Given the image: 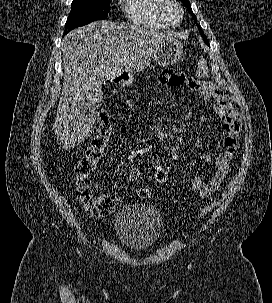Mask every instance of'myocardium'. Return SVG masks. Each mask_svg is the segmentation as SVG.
Masks as SVG:
<instances>
[{
  "instance_id": "1",
  "label": "myocardium",
  "mask_w": 272,
  "mask_h": 303,
  "mask_svg": "<svg viewBox=\"0 0 272 303\" xmlns=\"http://www.w3.org/2000/svg\"><path fill=\"white\" fill-rule=\"evenodd\" d=\"M170 7L176 8L179 13V19L176 22H172L168 17L167 12ZM160 16L169 27H176L181 24L184 17V11L181 4L177 0H163L160 8Z\"/></svg>"
}]
</instances>
